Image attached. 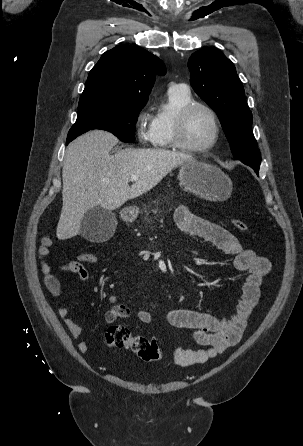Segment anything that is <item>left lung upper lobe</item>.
Returning <instances> with one entry per match:
<instances>
[{
    "label": "left lung upper lobe",
    "instance_id": "1",
    "mask_svg": "<svg viewBox=\"0 0 303 446\" xmlns=\"http://www.w3.org/2000/svg\"><path fill=\"white\" fill-rule=\"evenodd\" d=\"M188 67L191 86L216 112L234 158L259 172L261 156L251 129L252 113L233 63L208 47L193 53Z\"/></svg>",
    "mask_w": 303,
    "mask_h": 446
}]
</instances>
